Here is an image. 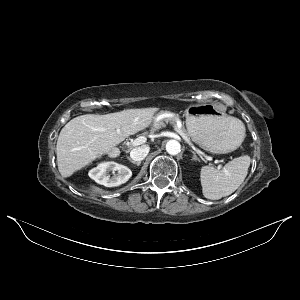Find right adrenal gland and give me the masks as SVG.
<instances>
[{
	"label": "right adrenal gland",
	"mask_w": 300,
	"mask_h": 300,
	"mask_svg": "<svg viewBox=\"0 0 300 300\" xmlns=\"http://www.w3.org/2000/svg\"><path fill=\"white\" fill-rule=\"evenodd\" d=\"M127 159H128L131 163L135 164L136 166H140V165H141V161L136 162V161L132 160L130 157H127Z\"/></svg>",
	"instance_id": "right-adrenal-gland-1"
}]
</instances>
